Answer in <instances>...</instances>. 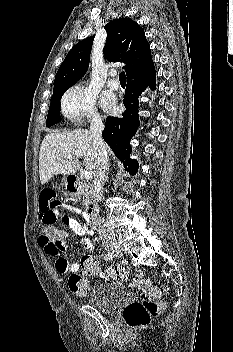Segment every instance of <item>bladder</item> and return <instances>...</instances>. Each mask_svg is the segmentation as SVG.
Returning a JSON list of instances; mask_svg holds the SVG:
<instances>
[{"instance_id":"bladder-1","label":"bladder","mask_w":233,"mask_h":352,"mask_svg":"<svg viewBox=\"0 0 233 352\" xmlns=\"http://www.w3.org/2000/svg\"><path fill=\"white\" fill-rule=\"evenodd\" d=\"M126 293L118 283H103L97 285L90 294L89 302L96 309L113 314L124 302Z\"/></svg>"}]
</instances>
